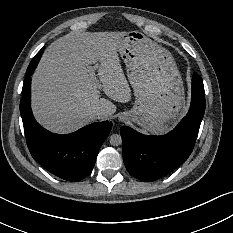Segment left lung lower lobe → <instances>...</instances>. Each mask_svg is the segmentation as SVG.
Here are the masks:
<instances>
[{
	"label": "left lung lower lobe",
	"instance_id": "0a47b994",
	"mask_svg": "<svg viewBox=\"0 0 233 233\" xmlns=\"http://www.w3.org/2000/svg\"><path fill=\"white\" fill-rule=\"evenodd\" d=\"M205 112L202 78L194 73L187 115L166 135H143L121 127L123 160L128 172L143 181H155L180 166L191 154Z\"/></svg>",
	"mask_w": 233,
	"mask_h": 233
}]
</instances>
